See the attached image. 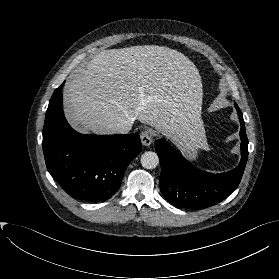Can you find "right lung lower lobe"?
I'll return each mask as SVG.
<instances>
[{
  "instance_id": "1",
  "label": "right lung lower lobe",
  "mask_w": 279,
  "mask_h": 279,
  "mask_svg": "<svg viewBox=\"0 0 279 279\" xmlns=\"http://www.w3.org/2000/svg\"><path fill=\"white\" fill-rule=\"evenodd\" d=\"M62 84L53 93L43 128V153L49 173L71 197L86 202L110 199L129 163L141 152L140 136L80 134L67 123Z\"/></svg>"
}]
</instances>
